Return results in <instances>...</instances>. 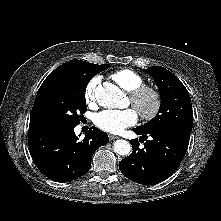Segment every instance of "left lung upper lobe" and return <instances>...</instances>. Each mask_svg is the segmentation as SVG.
Segmentation results:
<instances>
[{
	"label": "left lung upper lobe",
	"mask_w": 221,
	"mask_h": 221,
	"mask_svg": "<svg viewBox=\"0 0 221 221\" xmlns=\"http://www.w3.org/2000/svg\"><path fill=\"white\" fill-rule=\"evenodd\" d=\"M161 93L158 114L148 123L137 127L141 132L172 131L190 136L193 125V111L190 95L182 82L164 67H149Z\"/></svg>",
	"instance_id": "left-lung-upper-lobe-1"
}]
</instances>
